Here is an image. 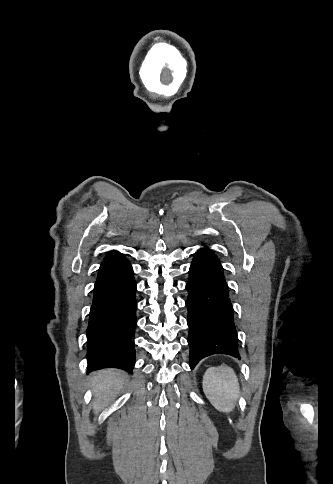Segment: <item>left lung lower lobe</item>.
<instances>
[{
	"label": "left lung lower lobe",
	"instance_id": "obj_1",
	"mask_svg": "<svg viewBox=\"0 0 333 484\" xmlns=\"http://www.w3.org/2000/svg\"><path fill=\"white\" fill-rule=\"evenodd\" d=\"M186 289L191 369L213 354L239 358L228 286L219 259L210 249L203 248L195 253Z\"/></svg>",
	"mask_w": 333,
	"mask_h": 484
}]
</instances>
